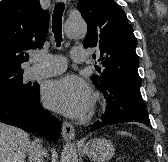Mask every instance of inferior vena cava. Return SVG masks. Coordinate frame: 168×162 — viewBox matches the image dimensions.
Segmentation results:
<instances>
[{"label":"inferior vena cava","mask_w":168,"mask_h":162,"mask_svg":"<svg viewBox=\"0 0 168 162\" xmlns=\"http://www.w3.org/2000/svg\"><path fill=\"white\" fill-rule=\"evenodd\" d=\"M45 151L42 148V146L36 142L33 141L30 145V149L28 152V156H29V161L30 162H43V157L45 155Z\"/></svg>","instance_id":"1"}]
</instances>
